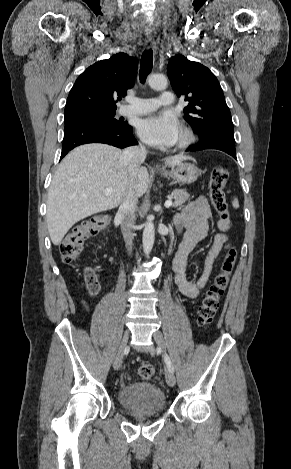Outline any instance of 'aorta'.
<instances>
[{"mask_svg":"<svg viewBox=\"0 0 291 469\" xmlns=\"http://www.w3.org/2000/svg\"><path fill=\"white\" fill-rule=\"evenodd\" d=\"M148 84L152 89L155 90H164L167 85V79L164 75H151L148 79ZM155 239V227L153 224V220L151 218H147L146 223L144 224L143 230V250L146 255H148L154 245Z\"/></svg>","mask_w":291,"mask_h":469,"instance_id":"obj_1","label":"aorta"}]
</instances>
